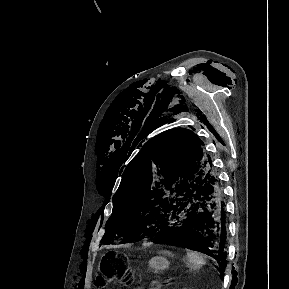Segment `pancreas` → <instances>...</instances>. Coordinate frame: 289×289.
Segmentation results:
<instances>
[{"label":"pancreas","mask_w":289,"mask_h":289,"mask_svg":"<svg viewBox=\"0 0 289 289\" xmlns=\"http://www.w3.org/2000/svg\"><path fill=\"white\" fill-rule=\"evenodd\" d=\"M150 289H160L158 286H152Z\"/></svg>","instance_id":"cf45deb5"}]
</instances>
